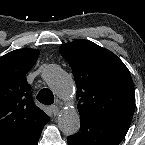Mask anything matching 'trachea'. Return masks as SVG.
<instances>
[{"instance_id":"obj_1","label":"trachea","mask_w":145,"mask_h":145,"mask_svg":"<svg viewBox=\"0 0 145 145\" xmlns=\"http://www.w3.org/2000/svg\"><path fill=\"white\" fill-rule=\"evenodd\" d=\"M37 100L42 104L51 105L54 102V95L51 90L44 88L38 93Z\"/></svg>"}]
</instances>
